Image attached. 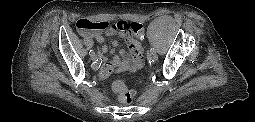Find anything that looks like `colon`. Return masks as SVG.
Returning a JSON list of instances; mask_svg holds the SVG:
<instances>
[{
    "label": "colon",
    "mask_w": 255,
    "mask_h": 122,
    "mask_svg": "<svg viewBox=\"0 0 255 122\" xmlns=\"http://www.w3.org/2000/svg\"><path fill=\"white\" fill-rule=\"evenodd\" d=\"M77 31L82 35H87L93 32L107 31L114 29L117 31H128L137 38H141L144 35L143 26L137 22L118 21L110 24L107 21H93L89 19H79L76 24ZM110 73L109 70L103 69L102 74L104 76ZM113 90L116 93L118 100L124 105L132 104L134 100V92L126 88L122 81H116L113 84Z\"/></svg>",
    "instance_id": "1"
}]
</instances>
